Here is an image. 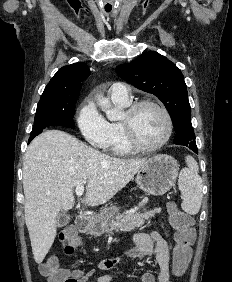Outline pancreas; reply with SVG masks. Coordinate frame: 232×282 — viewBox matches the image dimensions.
Here are the masks:
<instances>
[{"instance_id": "obj_1", "label": "pancreas", "mask_w": 232, "mask_h": 282, "mask_svg": "<svg viewBox=\"0 0 232 282\" xmlns=\"http://www.w3.org/2000/svg\"><path fill=\"white\" fill-rule=\"evenodd\" d=\"M160 208L145 211L144 213L132 212L127 214H117L110 221L106 222L105 232L112 233L113 231H129L139 228L145 224L146 220L154 217L156 213H160Z\"/></svg>"}]
</instances>
